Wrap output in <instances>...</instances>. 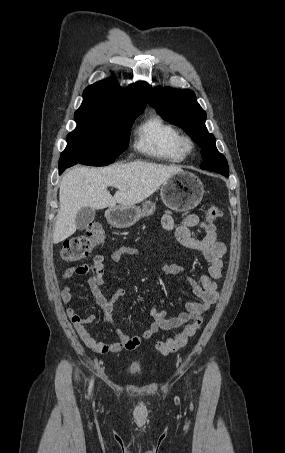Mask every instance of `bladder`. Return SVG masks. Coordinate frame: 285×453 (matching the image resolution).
<instances>
[{
	"mask_svg": "<svg viewBox=\"0 0 285 453\" xmlns=\"http://www.w3.org/2000/svg\"><path fill=\"white\" fill-rule=\"evenodd\" d=\"M140 370H141V367H140V364H139V363H132V364L129 366V372L132 373V374L139 373Z\"/></svg>",
	"mask_w": 285,
	"mask_h": 453,
	"instance_id": "31cf9c89",
	"label": "bladder"
}]
</instances>
